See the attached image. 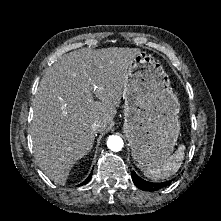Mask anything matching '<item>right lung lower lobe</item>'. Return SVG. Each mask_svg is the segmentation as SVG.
<instances>
[{"mask_svg": "<svg viewBox=\"0 0 221 221\" xmlns=\"http://www.w3.org/2000/svg\"><path fill=\"white\" fill-rule=\"evenodd\" d=\"M90 178H91V175H90L83 183H81V185H84V184L88 183V181L90 180Z\"/></svg>", "mask_w": 221, "mask_h": 221, "instance_id": "98d812e1", "label": "right lung lower lobe"}]
</instances>
